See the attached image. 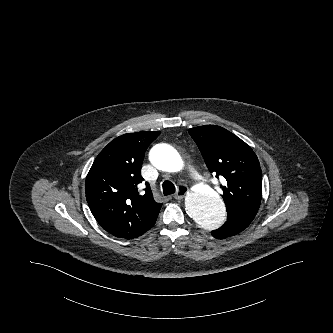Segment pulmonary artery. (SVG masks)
<instances>
[{
	"label": "pulmonary artery",
	"instance_id": "obj_1",
	"mask_svg": "<svg viewBox=\"0 0 333 333\" xmlns=\"http://www.w3.org/2000/svg\"><path fill=\"white\" fill-rule=\"evenodd\" d=\"M189 173L191 177L198 183H201L203 181L202 177L200 174L195 170V168L191 165L188 166Z\"/></svg>",
	"mask_w": 333,
	"mask_h": 333
}]
</instances>
